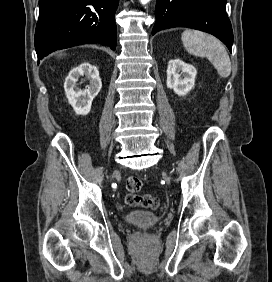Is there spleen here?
<instances>
[{
	"mask_svg": "<svg viewBox=\"0 0 272 282\" xmlns=\"http://www.w3.org/2000/svg\"><path fill=\"white\" fill-rule=\"evenodd\" d=\"M181 40L188 53L209 59L221 77L226 78L230 75V58L218 39L201 31L185 30Z\"/></svg>",
	"mask_w": 272,
	"mask_h": 282,
	"instance_id": "spleen-1",
	"label": "spleen"
}]
</instances>
